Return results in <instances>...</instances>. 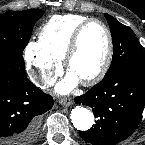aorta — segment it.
Wrapping results in <instances>:
<instances>
[{"label": "aorta", "instance_id": "1", "mask_svg": "<svg viewBox=\"0 0 145 145\" xmlns=\"http://www.w3.org/2000/svg\"><path fill=\"white\" fill-rule=\"evenodd\" d=\"M70 117L73 126L80 131H87L94 124L93 113L82 106H76L72 109Z\"/></svg>", "mask_w": 145, "mask_h": 145}]
</instances>
